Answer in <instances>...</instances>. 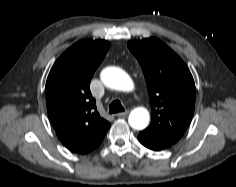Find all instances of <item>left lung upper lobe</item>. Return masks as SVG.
Here are the masks:
<instances>
[{
    "label": "left lung upper lobe",
    "instance_id": "obj_1",
    "mask_svg": "<svg viewBox=\"0 0 236 187\" xmlns=\"http://www.w3.org/2000/svg\"><path fill=\"white\" fill-rule=\"evenodd\" d=\"M148 88L152 121L140 134L175 144L194 113L195 84L185 63L157 38L128 42Z\"/></svg>",
    "mask_w": 236,
    "mask_h": 187
}]
</instances>
